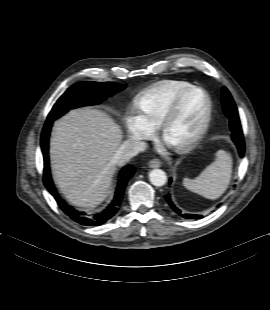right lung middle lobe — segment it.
I'll use <instances>...</instances> for the list:
<instances>
[{"label":"right lung middle lobe","mask_w":270,"mask_h":310,"mask_svg":"<svg viewBox=\"0 0 270 310\" xmlns=\"http://www.w3.org/2000/svg\"><path fill=\"white\" fill-rule=\"evenodd\" d=\"M125 89V85L114 82L84 81L72 85L58 99L47 120H55L68 110L85 105L99 104L107 97Z\"/></svg>","instance_id":"right-lung-middle-lobe-1"}]
</instances>
